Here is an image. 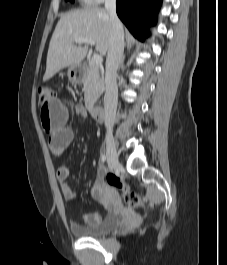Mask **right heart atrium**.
<instances>
[{
    "label": "right heart atrium",
    "mask_w": 227,
    "mask_h": 265,
    "mask_svg": "<svg viewBox=\"0 0 227 265\" xmlns=\"http://www.w3.org/2000/svg\"><path fill=\"white\" fill-rule=\"evenodd\" d=\"M87 1L88 3H91V4H100L106 0H85Z\"/></svg>",
    "instance_id": "d8ad5b80"
}]
</instances>
